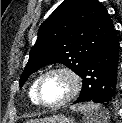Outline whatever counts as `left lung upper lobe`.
I'll return each mask as SVG.
<instances>
[{"instance_id":"1","label":"left lung upper lobe","mask_w":122,"mask_h":123,"mask_svg":"<svg viewBox=\"0 0 122 123\" xmlns=\"http://www.w3.org/2000/svg\"><path fill=\"white\" fill-rule=\"evenodd\" d=\"M114 28L98 0H64L41 24L19 83L41 67L62 63L80 76L94 51Z\"/></svg>"}]
</instances>
